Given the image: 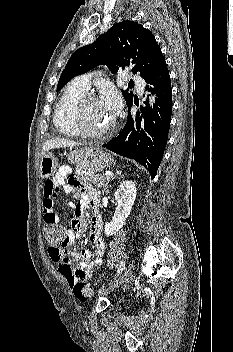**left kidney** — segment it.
<instances>
[{
    "label": "left kidney",
    "mask_w": 233,
    "mask_h": 352,
    "mask_svg": "<svg viewBox=\"0 0 233 352\" xmlns=\"http://www.w3.org/2000/svg\"><path fill=\"white\" fill-rule=\"evenodd\" d=\"M136 185L133 181H124L115 192L117 208L111 222H106L104 231L106 236L116 234L125 224L126 218L131 213L136 199Z\"/></svg>",
    "instance_id": "5707ae66"
}]
</instances>
